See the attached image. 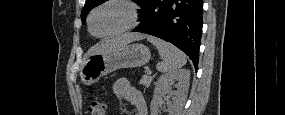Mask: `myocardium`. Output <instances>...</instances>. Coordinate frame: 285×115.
I'll return each mask as SVG.
<instances>
[{
  "mask_svg": "<svg viewBox=\"0 0 285 115\" xmlns=\"http://www.w3.org/2000/svg\"><path fill=\"white\" fill-rule=\"evenodd\" d=\"M105 5H118V6L123 7L126 10L128 20L124 26H122L121 28H119L113 32H109L106 34H96L92 30V18L94 16L95 12ZM87 21H88V30L93 36L99 37V38H107V37H112V36H116V35L126 33L128 31H131L134 28H136L139 24V21H140V13L138 10V6L133 1H130V0H108V1L102 2L101 4H99L98 6L93 8L88 15Z\"/></svg>",
  "mask_w": 285,
  "mask_h": 115,
  "instance_id": "1",
  "label": "myocardium"
}]
</instances>
